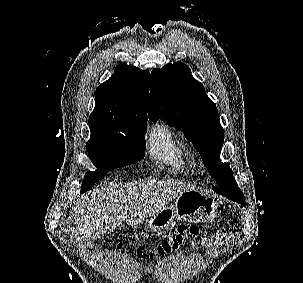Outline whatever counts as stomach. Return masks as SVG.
Wrapping results in <instances>:
<instances>
[{"instance_id": "obj_1", "label": "stomach", "mask_w": 303, "mask_h": 283, "mask_svg": "<svg viewBox=\"0 0 303 283\" xmlns=\"http://www.w3.org/2000/svg\"><path fill=\"white\" fill-rule=\"evenodd\" d=\"M217 202L210 196L189 190L178 196L173 204L166 205L154 216L145 220V227L160 234L174 224L176 219L199 223L212 220L217 213Z\"/></svg>"}]
</instances>
